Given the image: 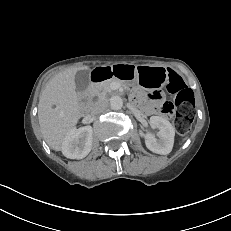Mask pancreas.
Masks as SVG:
<instances>
[{
    "instance_id": "1",
    "label": "pancreas",
    "mask_w": 231,
    "mask_h": 231,
    "mask_svg": "<svg viewBox=\"0 0 231 231\" xmlns=\"http://www.w3.org/2000/svg\"><path fill=\"white\" fill-rule=\"evenodd\" d=\"M113 82H117L119 85H122V82H120L118 80H111V81L104 82L100 86V94L105 95L106 93L110 92L111 91V85Z\"/></svg>"
}]
</instances>
